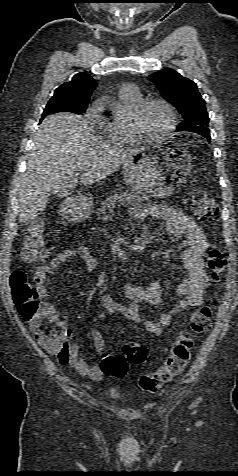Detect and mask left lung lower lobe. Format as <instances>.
I'll return each instance as SVG.
<instances>
[{"instance_id":"obj_1","label":"left lung lower lobe","mask_w":238,"mask_h":476,"mask_svg":"<svg viewBox=\"0 0 238 476\" xmlns=\"http://www.w3.org/2000/svg\"><path fill=\"white\" fill-rule=\"evenodd\" d=\"M200 134H202L205 138H207L208 140H210V134H209V131H204L202 130L201 132H199Z\"/></svg>"}]
</instances>
